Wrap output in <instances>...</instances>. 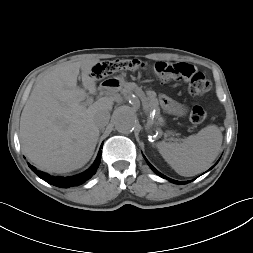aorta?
I'll return each mask as SVG.
<instances>
[{
  "mask_svg": "<svg viewBox=\"0 0 253 253\" xmlns=\"http://www.w3.org/2000/svg\"><path fill=\"white\" fill-rule=\"evenodd\" d=\"M136 120L133 110L121 108L115 113V128L121 133H128L134 128Z\"/></svg>",
  "mask_w": 253,
  "mask_h": 253,
  "instance_id": "aorta-1",
  "label": "aorta"
}]
</instances>
